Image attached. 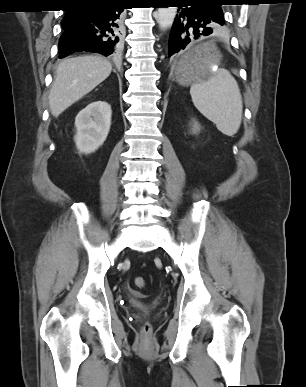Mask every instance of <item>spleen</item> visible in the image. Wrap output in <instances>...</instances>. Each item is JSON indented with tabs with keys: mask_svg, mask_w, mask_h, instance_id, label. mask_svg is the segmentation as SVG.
<instances>
[{
	"mask_svg": "<svg viewBox=\"0 0 306 387\" xmlns=\"http://www.w3.org/2000/svg\"><path fill=\"white\" fill-rule=\"evenodd\" d=\"M210 73L206 81L199 80L192 84V101L219 131L232 136L237 133L242 121L243 102L239 86L225 69Z\"/></svg>",
	"mask_w": 306,
	"mask_h": 387,
	"instance_id": "spleen-1",
	"label": "spleen"
}]
</instances>
